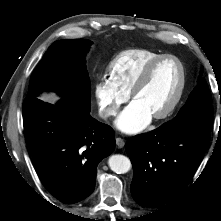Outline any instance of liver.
Returning a JSON list of instances; mask_svg holds the SVG:
<instances>
[{"instance_id": "6515ba94", "label": "liver", "mask_w": 221, "mask_h": 221, "mask_svg": "<svg viewBox=\"0 0 221 221\" xmlns=\"http://www.w3.org/2000/svg\"><path fill=\"white\" fill-rule=\"evenodd\" d=\"M41 99L45 102L54 103L56 101V97L54 95H43Z\"/></svg>"}]
</instances>
